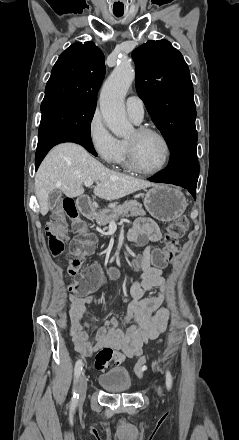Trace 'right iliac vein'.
<instances>
[{"instance_id":"right-iliac-vein-1","label":"right iliac vein","mask_w":239,"mask_h":440,"mask_svg":"<svg viewBox=\"0 0 239 440\" xmlns=\"http://www.w3.org/2000/svg\"><path fill=\"white\" fill-rule=\"evenodd\" d=\"M86 391H87V378L84 374H82L79 380V387H78L80 400H83L85 398Z\"/></svg>"}]
</instances>
